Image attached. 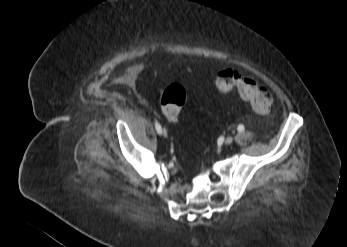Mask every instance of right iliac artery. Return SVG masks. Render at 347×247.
<instances>
[{"instance_id":"right-iliac-artery-1","label":"right iliac artery","mask_w":347,"mask_h":247,"mask_svg":"<svg viewBox=\"0 0 347 247\" xmlns=\"http://www.w3.org/2000/svg\"><path fill=\"white\" fill-rule=\"evenodd\" d=\"M155 129H156L158 134L162 133L161 125L157 121L155 122Z\"/></svg>"}]
</instances>
